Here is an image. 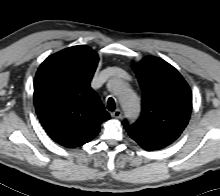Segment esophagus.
Returning <instances> with one entry per match:
<instances>
[{
	"label": "esophagus",
	"mask_w": 220,
	"mask_h": 196,
	"mask_svg": "<svg viewBox=\"0 0 220 196\" xmlns=\"http://www.w3.org/2000/svg\"><path fill=\"white\" fill-rule=\"evenodd\" d=\"M111 116L113 118H116V119L121 118L122 117V111L120 109H117V110L111 112Z\"/></svg>",
	"instance_id": "1"
}]
</instances>
